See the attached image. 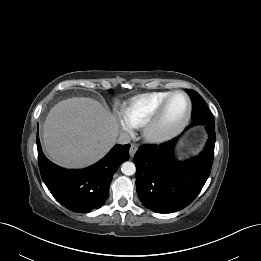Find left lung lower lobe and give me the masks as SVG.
I'll return each mask as SVG.
<instances>
[{"instance_id":"1","label":"left lung lower lobe","mask_w":261,"mask_h":261,"mask_svg":"<svg viewBox=\"0 0 261 261\" xmlns=\"http://www.w3.org/2000/svg\"><path fill=\"white\" fill-rule=\"evenodd\" d=\"M202 124V123H201ZM198 125L192 124L187 128ZM209 139L195 158L178 162L173 149L178 138L160 145H143L134 156L136 188L142 204L157 213H170L189 205L209 177L215 146V124L204 123Z\"/></svg>"}]
</instances>
